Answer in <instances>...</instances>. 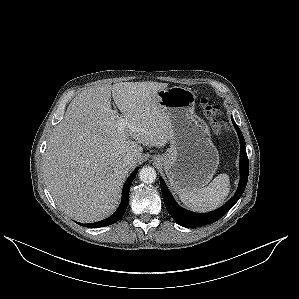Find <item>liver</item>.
Returning a JSON list of instances; mask_svg holds the SVG:
<instances>
[{
    "label": "liver",
    "mask_w": 299,
    "mask_h": 299,
    "mask_svg": "<svg viewBox=\"0 0 299 299\" xmlns=\"http://www.w3.org/2000/svg\"><path fill=\"white\" fill-rule=\"evenodd\" d=\"M167 86L122 82L84 90L71 101L43 160L46 186L66 215L87 223L116 210L125 178L141 159V145L162 147L170 139L169 118L156 99ZM111 95L120 116L112 110ZM126 155L133 157L128 166Z\"/></svg>",
    "instance_id": "obj_1"
}]
</instances>
